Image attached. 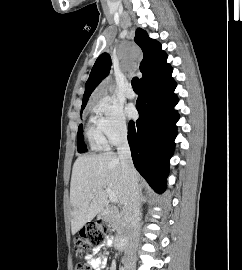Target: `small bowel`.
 <instances>
[{"mask_svg":"<svg viewBox=\"0 0 242 270\" xmlns=\"http://www.w3.org/2000/svg\"><path fill=\"white\" fill-rule=\"evenodd\" d=\"M112 243L111 239H108L105 242V245H110ZM97 249L93 251L92 254L88 255L87 258L91 260L92 265L97 268V270H101L105 264H106V257L105 256H99L97 258H93V254L96 253Z\"/></svg>","mask_w":242,"mask_h":270,"instance_id":"1","label":"small bowel"}]
</instances>
